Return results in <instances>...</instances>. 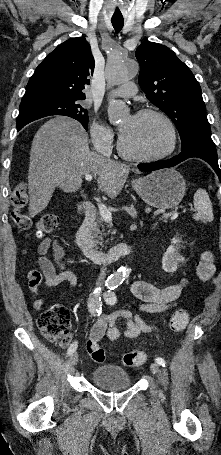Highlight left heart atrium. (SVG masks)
I'll use <instances>...</instances> for the list:
<instances>
[{"mask_svg":"<svg viewBox=\"0 0 221 455\" xmlns=\"http://www.w3.org/2000/svg\"><path fill=\"white\" fill-rule=\"evenodd\" d=\"M123 132H124V129H121L120 134H122Z\"/></svg>","mask_w":221,"mask_h":455,"instance_id":"1","label":"left heart atrium"}]
</instances>
